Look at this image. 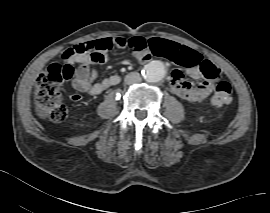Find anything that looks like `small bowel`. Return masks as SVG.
Returning a JSON list of instances; mask_svg holds the SVG:
<instances>
[{
	"label": "small bowel",
	"instance_id": "1",
	"mask_svg": "<svg viewBox=\"0 0 270 213\" xmlns=\"http://www.w3.org/2000/svg\"><path fill=\"white\" fill-rule=\"evenodd\" d=\"M117 39L103 38L88 40L73 46L76 50H83L71 61L77 64L75 77L72 81L75 90L80 93L88 92L91 95H99L108 87L119 83L120 77L115 74L97 81V71L94 68H89L90 65L101 64L106 61L108 53L117 47ZM153 56L176 64V67L170 73L171 88L174 93L184 100L196 102L206 98L212 92V86L208 81H202L198 84L184 81L185 75L193 80H198L202 77L200 66L203 61L198 52L174 41L157 38L154 40L152 46H147L144 51L136 54L135 58L140 62ZM73 96L74 101H78L81 98L78 94H74Z\"/></svg>",
	"mask_w": 270,
	"mask_h": 213
}]
</instances>
